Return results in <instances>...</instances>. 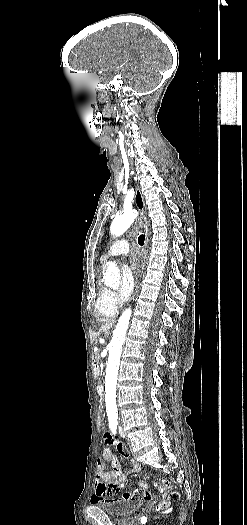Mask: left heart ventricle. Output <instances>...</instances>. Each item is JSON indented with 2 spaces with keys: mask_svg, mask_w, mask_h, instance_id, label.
I'll return each instance as SVG.
<instances>
[{
  "mask_svg": "<svg viewBox=\"0 0 247 525\" xmlns=\"http://www.w3.org/2000/svg\"><path fill=\"white\" fill-rule=\"evenodd\" d=\"M126 268V260L123 259L122 262H121V269H125Z\"/></svg>",
  "mask_w": 247,
  "mask_h": 525,
  "instance_id": "b2bd125f",
  "label": "left heart ventricle"
}]
</instances>
